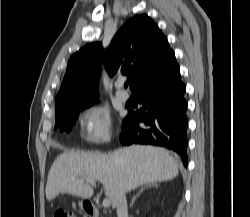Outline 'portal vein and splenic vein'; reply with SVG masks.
<instances>
[{"mask_svg":"<svg viewBox=\"0 0 250 217\" xmlns=\"http://www.w3.org/2000/svg\"><path fill=\"white\" fill-rule=\"evenodd\" d=\"M85 180H86L87 183H89V184H91L92 186L96 187V183H95L94 180L89 179V178H86ZM110 203H111V202H110V199L106 198V199L103 200V203H102V204H103V206H104L105 208H107V207L110 206Z\"/></svg>","mask_w":250,"mask_h":217,"instance_id":"18ae733b","label":"portal vein and splenic vein"}]
</instances>
